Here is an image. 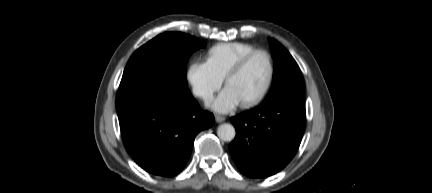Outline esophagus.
I'll return each mask as SVG.
<instances>
[{
	"label": "esophagus",
	"instance_id": "esophagus-1",
	"mask_svg": "<svg viewBox=\"0 0 432 193\" xmlns=\"http://www.w3.org/2000/svg\"><path fill=\"white\" fill-rule=\"evenodd\" d=\"M215 120H216V122L221 123V122L225 121L226 118L223 116H220V115H215Z\"/></svg>",
	"mask_w": 432,
	"mask_h": 193
}]
</instances>
